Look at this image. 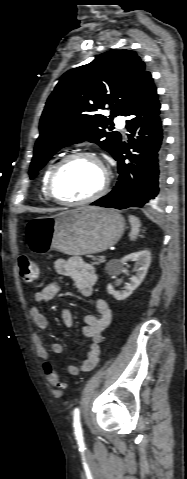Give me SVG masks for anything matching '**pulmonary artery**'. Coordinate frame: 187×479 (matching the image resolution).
I'll use <instances>...</instances> for the list:
<instances>
[{
  "label": "pulmonary artery",
  "mask_w": 187,
  "mask_h": 479,
  "mask_svg": "<svg viewBox=\"0 0 187 479\" xmlns=\"http://www.w3.org/2000/svg\"><path fill=\"white\" fill-rule=\"evenodd\" d=\"M115 123L118 127L122 128L124 126V117L119 115L115 119Z\"/></svg>",
  "instance_id": "e3ab8cb5"
}]
</instances>
